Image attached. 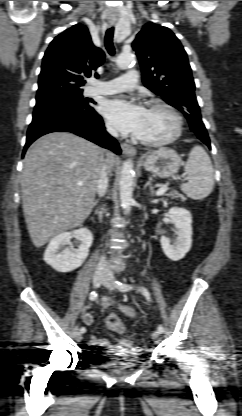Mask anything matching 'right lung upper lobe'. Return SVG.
I'll use <instances>...</instances> for the list:
<instances>
[{
  "label": "right lung upper lobe",
  "instance_id": "obj_1",
  "mask_svg": "<svg viewBox=\"0 0 242 416\" xmlns=\"http://www.w3.org/2000/svg\"><path fill=\"white\" fill-rule=\"evenodd\" d=\"M104 52L93 45L88 29L74 25L50 43L43 57L37 96H44L60 88H78L85 76L104 61ZM97 75V74H95Z\"/></svg>",
  "mask_w": 242,
  "mask_h": 416
}]
</instances>
